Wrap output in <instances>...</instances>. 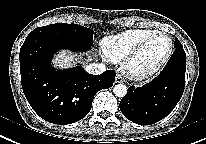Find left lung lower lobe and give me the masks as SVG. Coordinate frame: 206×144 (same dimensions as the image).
Returning <instances> with one entry per match:
<instances>
[{"mask_svg":"<svg viewBox=\"0 0 206 144\" xmlns=\"http://www.w3.org/2000/svg\"><path fill=\"white\" fill-rule=\"evenodd\" d=\"M151 82L142 87L131 86L120 101L123 115L139 125H151L166 117L182 97L185 86L186 54L181 45Z\"/></svg>","mask_w":206,"mask_h":144,"instance_id":"obj_1","label":"left lung lower lobe"}]
</instances>
